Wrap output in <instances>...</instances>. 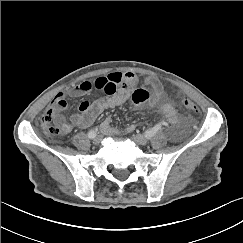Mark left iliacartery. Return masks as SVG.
<instances>
[{
    "instance_id": "44dca946",
    "label": "left iliac artery",
    "mask_w": 243,
    "mask_h": 243,
    "mask_svg": "<svg viewBox=\"0 0 243 243\" xmlns=\"http://www.w3.org/2000/svg\"><path fill=\"white\" fill-rule=\"evenodd\" d=\"M161 128H162L161 124H157V125H155L153 128L147 130V131L145 132L144 135H145L146 138L150 139V138H152L157 132H159V131L161 130Z\"/></svg>"
}]
</instances>
